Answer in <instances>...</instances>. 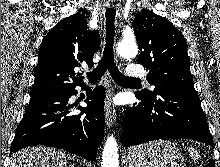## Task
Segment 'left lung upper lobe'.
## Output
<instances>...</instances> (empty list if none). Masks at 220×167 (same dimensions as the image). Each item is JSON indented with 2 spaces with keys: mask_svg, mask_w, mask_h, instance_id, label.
I'll return each instance as SVG.
<instances>
[{
  "mask_svg": "<svg viewBox=\"0 0 220 167\" xmlns=\"http://www.w3.org/2000/svg\"><path fill=\"white\" fill-rule=\"evenodd\" d=\"M132 26L141 51L137 63L149 71L147 81L155 87L141 93L154 96L169 86L195 91L183 34L166 18L149 10L139 12Z\"/></svg>",
  "mask_w": 220,
  "mask_h": 167,
  "instance_id": "left-lung-upper-lobe-1",
  "label": "left lung upper lobe"
}]
</instances>
